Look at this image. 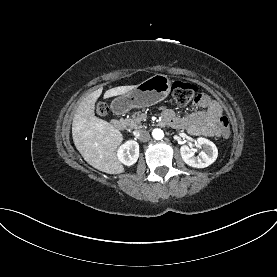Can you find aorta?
I'll list each match as a JSON object with an SVG mask.
<instances>
[{
	"label": "aorta",
	"mask_w": 277,
	"mask_h": 277,
	"mask_svg": "<svg viewBox=\"0 0 277 277\" xmlns=\"http://www.w3.org/2000/svg\"><path fill=\"white\" fill-rule=\"evenodd\" d=\"M152 135L154 139L161 140L164 137V132L161 129H154Z\"/></svg>",
	"instance_id": "aorta-1"
}]
</instances>
